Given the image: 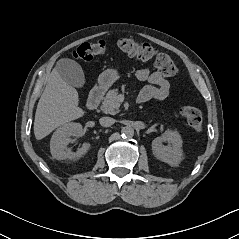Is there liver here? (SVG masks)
<instances>
[{
    "mask_svg": "<svg viewBox=\"0 0 239 239\" xmlns=\"http://www.w3.org/2000/svg\"><path fill=\"white\" fill-rule=\"evenodd\" d=\"M78 103L77 90L54 68L37 105L34 119L35 138L41 140L57 127L83 116L84 111Z\"/></svg>",
    "mask_w": 239,
    "mask_h": 239,
    "instance_id": "1",
    "label": "liver"
}]
</instances>
